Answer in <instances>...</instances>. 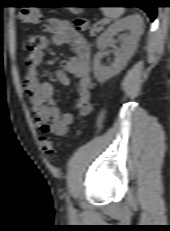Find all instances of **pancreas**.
<instances>
[{"label":"pancreas","instance_id":"pancreas-1","mask_svg":"<svg viewBox=\"0 0 170 231\" xmlns=\"http://www.w3.org/2000/svg\"><path fill=\"white\" fill-rule=\"evenodd\" d=\"M97 24L104 25V24H106V21L103 20V21L98 22ZM97 24L94 25V27L90 30V35L91 36H94L95 33H98V32H100L103 29V27H97Z\"/></svg>","mask_w":170,"mask_h":231}]
</instances>
